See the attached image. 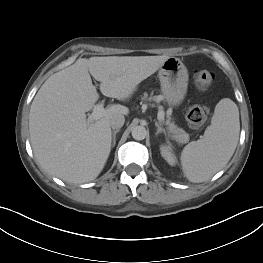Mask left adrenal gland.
I'll return each mask as SVG.
<instances>
[{
    "instance_id": "obj_1",
    "label": "left adrenal gland",
    "mask_w": 263,
    "mask_h": 263,
    "mask_svg": "<svg viewBox=\"0 0 263 263\" xmlns=\"http://www.w3.org/2000/svg\"><path fill=\"white\" fill-rule=\"evenodd\" d=\"M155 126L157 127L156 135L164 133L167 136L166 130L158 122H155Z\"/></svg>"
}]
</instances>
